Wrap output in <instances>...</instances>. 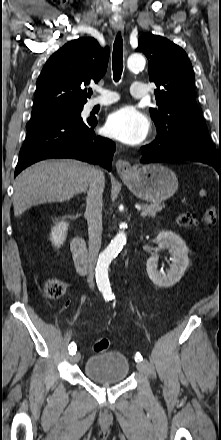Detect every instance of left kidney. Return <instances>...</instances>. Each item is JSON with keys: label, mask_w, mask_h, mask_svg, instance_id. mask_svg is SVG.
<instances>
[{"label": "left kidney", "mask_w": 221, "mask_h": 440, "mask_svg": "<svg viewBox=\"0 0 221 440\" xmlns=\"http://www.w3.org/2000/svg\"><path fill=\"white\" fill-rule=\"evenodd\" d=\"M161 249H168L172 264L167 273L157 269V258L147 260V273L151 281L158 287H171L180 281L189 265L188 252L185 241L172 231H161L156 238Z\"/></svg>", "instance_id": "1"}]
</instances>
